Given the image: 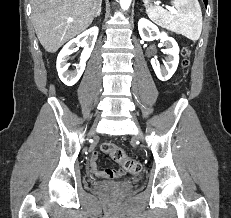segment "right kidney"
Segmentation results:
<instances>
[{"label": "right kidney", "instance_id": "right-kidney-1", "mask_svg": "<svg viewBox=\"0 0 231 218\" xmlns=\"http://www.w3.org/2000/svg\"><path fill=\"white\" fill-rule=\"evenodd\" d=\"M97 36L98 27L94 26L80 34L77 38L69 41L60 51L56 66L61 81L67 86H73L80 79L85 70L86 61L89 59L94 48ZM80 45L84 47L80 62L79 64H75L76 69L74 71H68V67L70 66V64L67 63L69 56L73 54L77 50V46Z\"/></svg>", "mask_w": 231, "mask_h": 218}]
</instances>
